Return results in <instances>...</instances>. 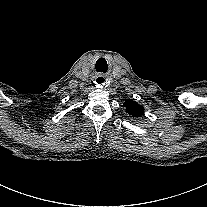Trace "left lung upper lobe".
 Masks as SVG:
<instances>
[{"mask_svg":"<svg viewBox=\"0 0 207 207\" xmlns=\"http://www.w3.org/2000/svg\"><path fill=\"white\" fill-rule=\"evenodd\" d=\"M126 112L132 117H140L144 114V108L133 100H126L124 102Z\"/></svg>","mask_w":207,"mask_h":207,"instance_id":"left-lung-upper-lobe-1","label":"left lung upper lobe"}]
</instances>
